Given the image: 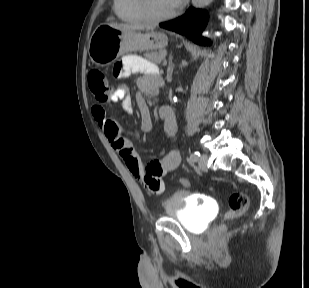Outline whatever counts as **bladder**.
<instances>
[{"label": "bladder", "mask_w": 309, "mask_h": 288, "mask_svg": "<svg viewBox=\"0 0 309 288\" xmlns=\"http://www.w3.org/2000/svg\"><path fill=\"white\" fill-rule=\"evenodd\" d=\"M163 211L166 216L176 218L186 229L199 233L211 221L215 205L208 197L176 191L163 201Z\"/></svg>", "instance_id": "1"}]
</instances>
